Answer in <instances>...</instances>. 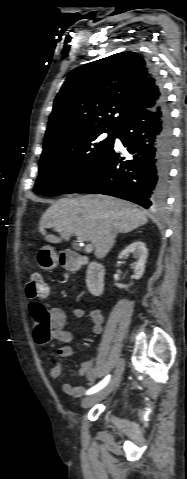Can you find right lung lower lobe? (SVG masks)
<instances>
[{"label":"right lung lower lobe","mask_w":187,"mask_h":479,"mask_svg":"<svg viewBox=\"0 0 187 479\" xmlns=\"http://www.w3.org/2000/svg\"><path fill=\"white\" fill-rule=\"evenodd\" d=\"M161 98L152 108L135 112L116 137L130 157L114 146L66 193H100L137 203L144 208L164 205L172 150V123L168 102L155 71Z\"/></svg>","instance_id":"1"}]
</instances>
